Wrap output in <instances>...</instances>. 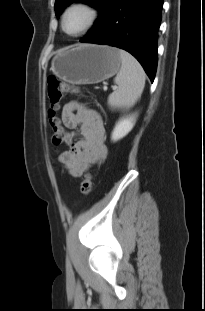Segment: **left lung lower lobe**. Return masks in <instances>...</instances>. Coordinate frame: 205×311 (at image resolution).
<instances>
[{
	"label": "left lung lower lobe",
	"instance_id": "obj_1",
	"mask_svg": "<svg viewBox=\"0 0 205 311\" xmlns=\"http://www.w3.org/2000/svg\"><path fill=\"white\" fill-rule=\"evenodd\" d=\"M162 5L163 0H114L108 14L80 42L128 51L153 82Z\"/></svg>",
	"mask_w": 205,
	"mask_h": 311
}]
</instances>
